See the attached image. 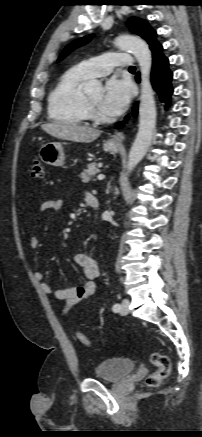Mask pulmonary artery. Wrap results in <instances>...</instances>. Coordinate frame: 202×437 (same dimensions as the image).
<instances>
[{
    "label": "pulmonary artery",
    "mask_w": 202,
    "mask_h": 437,
    "mask_svg": "<svg viewBox=\"0 0 202 437\" xmlns=\"http://www.w3.org/2000/svg\"><path fill=\"white\" fill-rule=\"evenodd\" d=\"M133 59L128 53H107L84 60L76 67L87 77H101L108 75L115 67L130 68Z\"/></svg>",
    "instance_id": "1"
}]
</instances>
